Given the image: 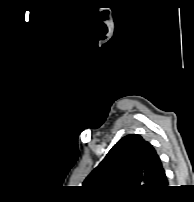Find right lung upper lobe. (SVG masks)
I'll list each match as a JSON object with an SVG mask.
<instances>
[{"label": "right lung upper lobe", "instance_id": "1", "mask_svg": "<svg viewBox=\"0 0 194 202\" xmlns=\"http://www.w3.org/2000/svg\"><path fill=\"white\" fill-rule=\"evenodd\" d=\"M168 180L153 146L140 135L119 140L85 179L83 186L105 196H150Z\"/></svg>", "mask_w": 194, "mask_h": 202}]
</instances>
